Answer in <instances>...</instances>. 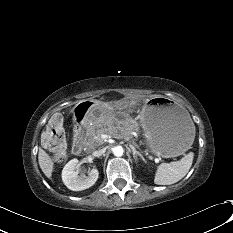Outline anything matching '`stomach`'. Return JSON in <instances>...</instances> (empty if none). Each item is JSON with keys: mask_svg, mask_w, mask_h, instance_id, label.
Instances as JSON below:
<instances>
[{"mask_svg": "<svg viewBox=\"0 0 233 233\" xmlns=\"http://www.w3.org/2000/svg\"><path fill=\"white\" fill-rule=\"evenodd\" d=\"M132 110L133 103L130 99H110L105 106L94 104L92 113L86 118L93 123L107 119L119 121ZM141 125L151 152L163 158L183 154L195 137V126L189 114L163 97L145 104L141 113Z\"/></svg>", "mask_w": 233, "mask_h": 233, "instance_id": "obj_1", "label": "stomach"}]
</instances>
